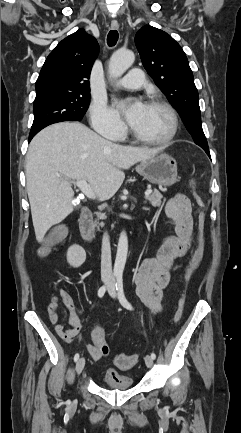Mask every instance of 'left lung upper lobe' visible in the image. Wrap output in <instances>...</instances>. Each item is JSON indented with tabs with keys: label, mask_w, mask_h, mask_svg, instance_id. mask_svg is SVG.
I'll list each match as a JSON object with an SVG mask.
<instances>
[{
	"label": "left lung upper lobe",
	"mask_w": 241,
	"mask_h": 433,
	"mask_svg": "<svg viewBox=\"0 0 241 433\" xmlns=\"http://www.w3.org/2000/svg\"><path fill=\"white\" fill-rule=\"evenodd\" d=\"M135 44L148 74L178 109L194 142L208 149L201 124L198 91L181 46L166 32L150 25L137 32Z\"/></svg>",
	"instance_id": "5c2ea615"
}]
</instances>
